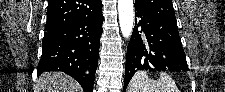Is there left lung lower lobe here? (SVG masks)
Instances as JSON below:
<instances>
[{
	"label": "left lung lower lobe",
	"instance_id": "1",
	"mask_svg": "<svg viewBox=\"0 0 225 92\" xmlns=\"http://www.w3.org/2000/svg\"><path fill=\"white\" fill-rule=\"evenodd\" d=\"M135 17L141 20L136 22L127 47L124 91L139 70H188L177 24L139 10H135ZM138 26L142 27L143 35L139 34Z\"/></svg>",
	"mask_w": 225,
	"mask_h": 92
}]
</instances>
